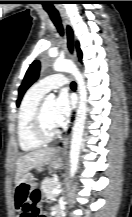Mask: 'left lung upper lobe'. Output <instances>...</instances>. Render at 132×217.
I'll list each match as a JSON object with an SVG mask.
<instances>
[{"label":"left lung upper lobe","instance_id":"left-lung-upper-lobe-1","mask_svg":"<svg viewBox=\"0 0 132 217\" xmlns=\"http://www.w3.org/2000/svg\"><path fill=\"white\" fill-rule=\"evenodd\" d=\"M77 51H78V56L81 59L82 58V52L79 48V44L77 43ZM39 70H40V62L38 60L34 61L29 69L27 70L25 77L23 79V82L19 88V97L17 100V106H19L20 101L26 92V90L31 86L33 82H35L39 76Z\"/></svg>","mask_w":132,"mask_h":217}]
</instances>
